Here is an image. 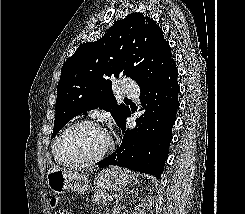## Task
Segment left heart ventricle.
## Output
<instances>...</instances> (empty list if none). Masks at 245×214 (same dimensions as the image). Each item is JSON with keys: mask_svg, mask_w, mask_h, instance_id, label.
<instances>
[{"mask_svg": "<svg viewBox=\"0 0 245 214\" xmlns=\"http://www.w3.org/2000/svg\"><path fill=\"white\" fill-rule=\"evenodd\" d=\"M107 144L101 130L83 125L71 130L61 141L58 153L64 159H85L100 153Z\"/></svg>", "mask_w": 245, "mask_h": 214, "instance_id": "1", "label": "left heart ventricle"}]
</instances>
